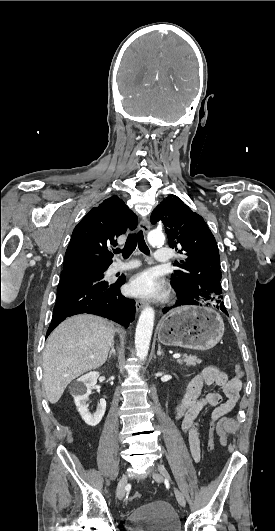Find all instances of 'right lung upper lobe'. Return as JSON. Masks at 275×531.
<instances>
[{"mask_svg": "<svg viewBox=\"0 0 275 531\" xmlns=\"http://www.w3.org/2000/svg\"><path fill=\"white\" fill-rule=\"evenodd\" d=\"M137 226V216L118 196H112L91 209L74 228L66 250L63 270L82 265L109 266L110 246L118 236Z\"/></svg>", "mask_w": 275, "mask_h": 531, "instance_id": "obj_1", "label": "right lung upper lobe"}]
</instances>
